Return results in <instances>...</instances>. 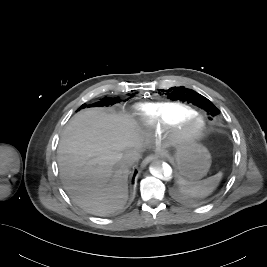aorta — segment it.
Segmentation results:
<instances>
[{
	"mask_svg": "<svg viewBox=\"0 0 267 267\" xmlns=\"http://www.w3.org/2000/svg\"><path fill=\"white\" fill-rule=\"evenodd\" d=\"M149 171L154 177L160 180H169L172 176L171 166L162 160L153 161L150 164Z\"/></svg>",
	"mask_w": 267,
	"mask_h": 267,
	"instance_id": "1",
	"label": "aorta"
}]
</instances>
